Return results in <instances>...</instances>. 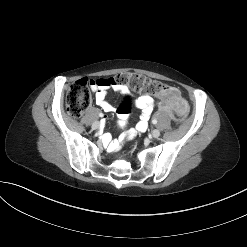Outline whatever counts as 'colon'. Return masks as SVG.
Masks as SVG:
<instances>
[{
	"mask_svg": "<svg viewBox=\"0 0 247 247\" xmlns=\"http://www.w3.org/2000/svg\"><path fill=\"white\" fill-rule=\"evenodd\" d=\"M111 81L113 83L125 85L139 93H162V107L175 110L179 116H183L186 112V104L181 98L178 90L174 87H166L160 81L135 73L120 74L115 78H112ZM99 83L101 82L98 80L83 78L71 85L66 96V108L70 115L73 117H80L86 111L91 102L90 89L94 84ZM130 111L131 97L130 95H127L118 108L121 122L126 120Z\"/></svg>",
	"mask_w": 247,
	"mask_h": 247,
	"instance_id": "colon-1",
	"label": "colon"
}]
</instances>
